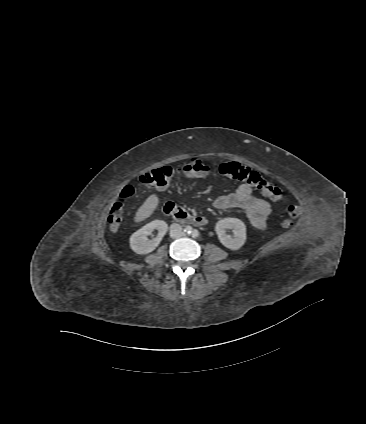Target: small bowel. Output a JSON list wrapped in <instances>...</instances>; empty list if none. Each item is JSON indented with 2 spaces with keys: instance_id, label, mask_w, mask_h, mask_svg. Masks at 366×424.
<instances>
[{
  "instance_id": "1",
  "label": "small bowel",
  "mask_w": 366,
  "mask_h": 424,
  "mask_svg": "<svg viewBox=\"0 0 366 424\" xmlns=\"http://www.w3.org/2000/svg\"><path fill=\"white\" fill-rule=\"evenodd\" d=\"M217 209L239 208L245 211L249 223L258 230H264L271 212L270 204L253 194L252 187L241 184L234 192L218 196L214 201Z\"/></svg>"
}]
</instances>
